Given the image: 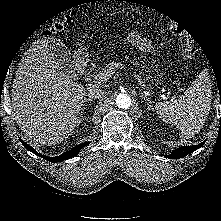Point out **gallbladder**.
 Listing matches in <instances>:
<instances>
[{"label": "gallbladder", "mask_w": 221, "mask_h": 221, "mask_svg": "<svg viewBox=\"0 0 221 221\" xmlns=\"http://www.w3.org/2000/svg\"><path fill=\"white\" fill-rule=\"evenodd\" d=\"M49 48L64 69L68 72H71L74 69L71 51L60 39L52 38L49 41Z\"/></svg>", "instance_id": "gallbladder-1"}]
</instances>
